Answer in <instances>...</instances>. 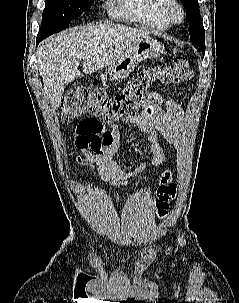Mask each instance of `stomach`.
Instances as JSON below:
<instances>
[{
    "instance_id": "stomach-1",
    "label": "stomach",
    "mask_w": 239,
    "mask_h": 303,
    "mask_svg": "<svg viewBox=\"0 0 239 303\" xmlns=\"http://www.w3.org/2000/svg\"><path fill=\"white\" fill-rule=\"evenodd\" d=\"M164 51L163 46L155 39L146 37L133 42L123 54L108 66L107 73L113 81H120L127 77L143 60L157 58Z\"/></svg>"
}]
</instances>
